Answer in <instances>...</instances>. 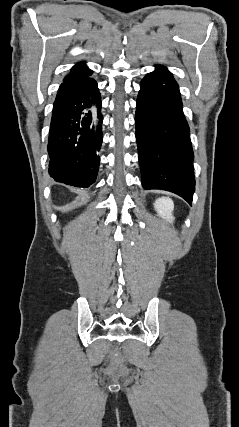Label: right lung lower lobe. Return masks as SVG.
Masks as SVG:
<instances>
[{
	"mask_svg": "<svg viewBox=\"0 0 239 427\" xmlns=\"http://www.w3.org/2000/svg\"><path fill=\"white\" fill-rule=\"evenodd\" d=\"M91 72L65 78L53 108L48 138L49 173L61 183L89 187L99 169L101 97Z\"/></svg>",
	"mask_w": 239,
	"mask_h": 427,
	"instance_id": "1",
	"label": "right lung lower lobe"
}]
</instances>
